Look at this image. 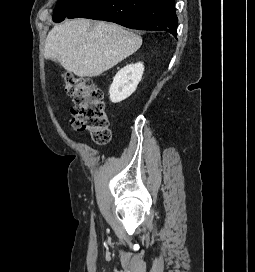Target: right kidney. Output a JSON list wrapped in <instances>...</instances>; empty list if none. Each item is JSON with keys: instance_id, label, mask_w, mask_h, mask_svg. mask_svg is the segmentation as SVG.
<instances>
[{"instance_id": "ca27d5eb", "label": "right kidney", "mask_w": 255, "mask_h": 272, "mask_svg": "<svg viewBox=\"0 0 255 272\" xmlns=\"http://www.w3.org/2000/svg\"><path fill=\"white\" fill-rule=\"evenodd\" d=\"M143 72L144 65L141 62L126 65L118 71L110 86V101L118 103L128 98L136 90Z\"/></svg>"}]
</instances>
